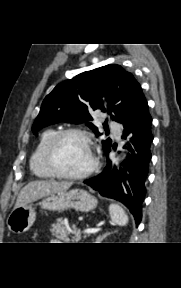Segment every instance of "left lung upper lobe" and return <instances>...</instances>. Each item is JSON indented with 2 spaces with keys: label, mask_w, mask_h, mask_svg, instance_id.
<instances>
[{
  "label": "left lung upper lobe",
  "mask_w": 181,
  "mask_h": 288,
  "mask_svg": "<svg viewBox=\"0 0 181 288\" xmlns=\"http://www.w3.org/2000/svg\"><path fill=\"white\" fill-rule=\"evenodd\" d=\"M140 88L133 75L116 64L83 72L60 83L46 96L32 131L37 135L43 127L62 121L86 122L98 136L97 128L89 122L93 120L91 114L107 111L113 120L121 123ZM102 144L107 151L111 140L108 138Z\"/></svg>",
  "instance_id": "obj_1"
}]
</instances>
